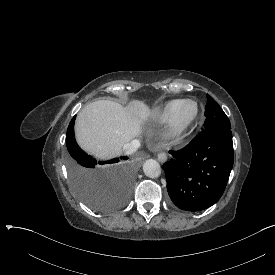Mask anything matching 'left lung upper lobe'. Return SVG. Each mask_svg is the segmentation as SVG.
<instances>
[{
  "label": "left lung upper lobe",
  "instance_id": "5c2ea615",
  "mask_svg": "<svg viewBox=\"0 0 275 275\" xmlns=\"http://www.w3.org/2000/svg\"><path fill=\"white\" fill-rule=\"evenodd\" d=\"M205 123L204 127L206 129H213L216 127H231L230 121L220 108V106L215 102V100L207 94V104L205 110Z\"/></svg>",
  "mask_w": 275,
  "mask_h": 275
}]
</instances>
